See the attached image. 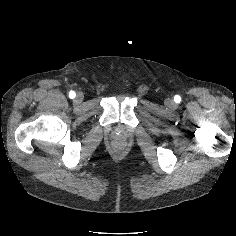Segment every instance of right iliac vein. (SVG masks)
I'll return each mask as SVG.
<instances>
[{
	"mask_svg": "<svg viewBox=\"0 0 236 236\" xmlns=\"http://www.w3.org/2000/svg\"><path fill=\"white\" fill-rule=\"evenodd\" d=\"M83 98H84L83 94H82V93H78L77 96H76V98H75V101H76L77 103H80V102L83 101Z\"/></svg>",
	"mask_w": 236,
	"mask_h": 236,
	"instance_id": "obj_1",
	"label": "right iliac vein"
}]
</instances>
